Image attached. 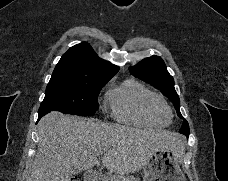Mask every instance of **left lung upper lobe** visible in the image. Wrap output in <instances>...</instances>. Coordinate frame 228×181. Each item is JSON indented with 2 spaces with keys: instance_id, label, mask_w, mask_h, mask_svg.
I'll use <instances>...</instances> for the list:
<instances>
[{
  "instance_id": "5c2ea615",
  "label": "left lung upper lobe",
  "mask_w": 228,
  "mask_h": 181,
  "mask_svg": "<svg viewBox=\"0 0 228 181\" xmlns=\"http://www.w3.org/2000/svg\"><path fill=\"white\" fill-rule=\"evenodd\" d=\"M129 70L133 76L151 84L167 96L173 102L178 116L183 118L179 111L180 100L174 88V79L167 71L164 61L159 56L146 58L135 66L130 67ZM179 132L186 136L189 135L190 130L186 120L183 121Z\"/></svg>"
}]
</instances>
